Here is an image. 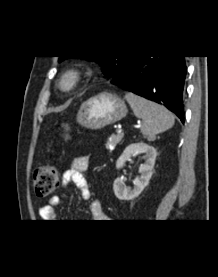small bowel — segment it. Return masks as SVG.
I'll return each mask as SVG.
<instances>
[{"label": "small bowel", "instance_id": "small-bowel-1", "mask_svg": "<svg viewBox=\"0 0 218 277\" xmlns=\"http://www.w3.org/2000/svg\"><path fill=\"white\" fill-rule=\"evenodd\" d=\"M89 165L90 158L88 156H77L71 160L69 169L62 176V186H66L69 182H72L80 190L82 198L86 201L91 200L92 197L89 184L83 175L89 168ZM59 203L60 197L58 195L53 196L47 205L39 209L40 217L47 222L55 220L57 218L55 207ZM91 216L93 220H103L106 217L98 200L91 202Z\"/></svg>", "mask_w": 218, "mask_h": 277}]
</instances>
